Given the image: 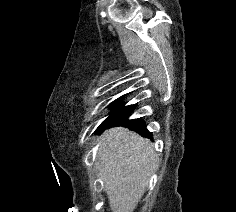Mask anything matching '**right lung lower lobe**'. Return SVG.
<instances>
[{
    "mask_svg": "<svg viewBox=\"0 0 236 212\" xmlns=\"http://www.w3.org/2000/svg\"><path fill=\"white\" fill-rule=\"evenodd\" d=\"M134 109L135 105L120 106L117 109L116 113L113 115L112 119L106 124L105 128L115 124H126L129 129L135 130L136 132L141 134L142 137L151 138L152 134L146 129V125L142 119L128 120V116Z\"/></svg>",
    "mask_w": 236,
    "mask_h": 212,
    "instance_id": "obj_1",
    "label": "right lung lower lobe"
}]
</instances>
